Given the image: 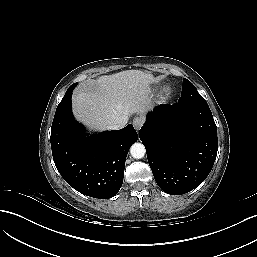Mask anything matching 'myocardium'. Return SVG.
<instances>
[{
    "label": "myocardium",
    "mask_w": 257,
    "mask_h": 257,
    "mask_svg": "<svg viewBox=\"0 0 257 257\" xmlns=\"http://www.w3.org/2000/svg\"><path fill=\"white\" fill-rule=\"evenodd\" d=\"M167 93H170V89H167Z\"/></svg>",
    "instance_id": "1"
}]
</instances>
